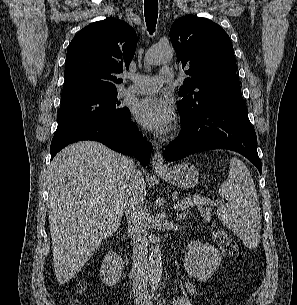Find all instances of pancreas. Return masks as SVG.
Instances as JSON below:
<instances>
[{
    "label": "pancreas",
    "instance_id": "pancreas-1",
    "mask_svg": "<svg viewBox=\"0 0 297 305\" xmlns=\"http://www.w3.org/2000/svg\"><path fill=\"white\" fill-rule=\"evenodd\" d=\"M191 197L193 199L192 204L186 203L182 206V209H188L189 207L197 206L201 216L204 219L209 218L211 212V202L207 198L201 197L199 195H194Z\"/></svg>",
    "mask_w": 297,
    "mask_h": 305
}]
</instances>
